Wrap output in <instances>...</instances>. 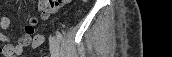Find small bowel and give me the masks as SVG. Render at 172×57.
<instances>
[{
  "instance_id": "small-bowel-1",
  "label": "small bowel",
  "mask_w": 172,
  "mask_h": 57,
  "mask_svg": "<svg viewBox=\"0 0 172 57\" xmlns=\"http://www.w3.org/2000/svg\"><path fill=\"white\" fill-rule=\"evenodd\" d=\"M68 2V0H40L38 9L41 11V19L47 20L52 13L57 12ZM37 23L38 19L32 17L18 39L0 32V54L6 57H18L26 46L38 48L43 43L44 37L40 34H34ZM9 26L10 19L7 16L1 17L0 29L5 30Z\"/></svg>"
}]
</instances>
